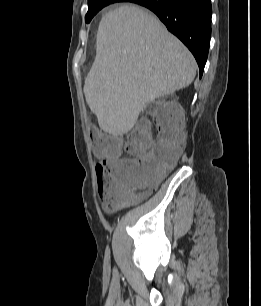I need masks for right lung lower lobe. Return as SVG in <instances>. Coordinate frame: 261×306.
Masks as SVG:
<instances>
[{"instance_id":"1","label":"right lung lower lobe","mask_w":261,"mask_h":306,"mask_svg":"<svg viewBox=\"0 0 261 306\" xmlns=\"http://www.w3.org/2000/svg\"><path fill=\"white\" fill-rule=\"evenodd\" d=\"M153 11L192 52L202 76L211 37V0H132Z\"/></svg>"}]
</instances>
